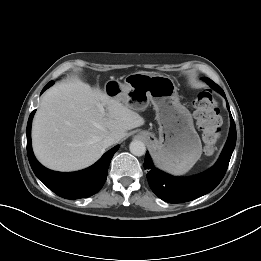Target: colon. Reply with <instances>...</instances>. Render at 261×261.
<instances>
[{
	"mask_svg": "<svg viewBox=\"0 0 261 261\" xmlns=\"http://www.w3.org/2000/svg\"><path fill=\"white\" fill-rule=\"evenodd\" d=\"M194 116L207 151L213 150V145L220 135L221 117L218 105L212 94L202 90L196 96Z\"/></svg>",
	"mask_w": 261,
	"mask_h": 261,
	"instance_id": "obj_1",
	"label": "colon"
}]
</instances>
